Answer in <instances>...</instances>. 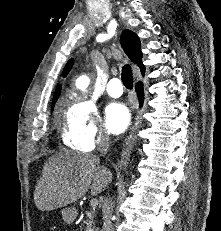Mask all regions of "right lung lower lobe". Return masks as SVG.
<instances>
[{
	"instance_id": "right-lung-lower-lobe-1",
	"label": "right lung lower lobe",
	"mask_w": 221,
	"mask_h": 231,
	"mask_svg": "<svg viewBox=\"0 0 221 231\" xmlns=\"http://www.w3.org/2000/svg\"><path fill=\"white\" fill-rule=\"evenodd\" d=\"M136 92L139 98L140 106L143 104V97H144V92L142 88V83L139 82L136 86Z\"/></svg>"
}]
</instances>
